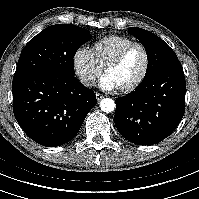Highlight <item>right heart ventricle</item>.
Listing matches in <instances>:
<instances>
[{"mask_svg":"<svg viewBox=\"0 0 199 199\" xmlns=\"http://www.w3.org/2000/svg\"><path fill=\"white\" fill-rule=\"evenodd\" d=\"M132 42V39L125 36H105L93 43L90 53L96 65L102 69L120 49Z\"/></svg>","mask_w":199,"mask_h":199,"instance_id":"e07e8e85","label":"right heart ventricle"}]
</instances>
